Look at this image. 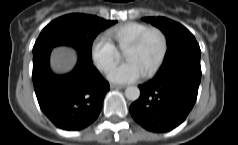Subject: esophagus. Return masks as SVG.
Here are the masks:
<instances>
[{
	"instance_id": "34e87169",
	"label": "esophagus",
	"mask_w": 238,
	"mask_h": 145,
	"mask_svg": "<svg viewBox=\"0 0 238 145\" xmlns=\"http://www.w3.org/2000/svg\"><path fill=\"white\" fill-rule=\"evenodd\" d=\"M125 87V85L110 84L111 89H124Z\"/></svg>"
}]
</instances>
